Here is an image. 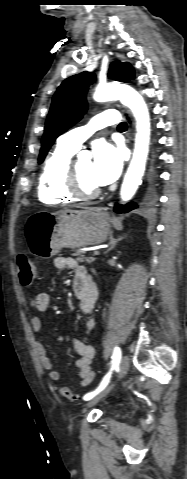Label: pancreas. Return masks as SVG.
Masks as SVG:
<instances>
[{
    "label": "pancreas",
    "mask_w": 187,
    "mask_h": 479,
    "mask_svg": "<svg viewBox=\"0 0 187 479\" xmlns=\"http://www.w3.org/2000/svg\"><path fill=\"white\" fill-rule=\"evenodd\" d=\"M73 256H76V257H77L76 260H77L78 262H84V261H86L87 263H91V262L94 261V258H87V257H85V256L82 254V252H80V251L75 252V253L73 254Z\"/></svg>",
    "instance_id": "1"
}]
</instances>
